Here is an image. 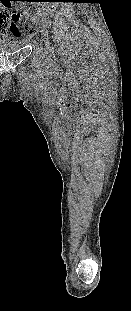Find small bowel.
Instances as JSON below:
<instances>
[{"label":"small bowel","mask_w":131,"mask_h":311,"mask_svg":"<svg viewBox=\"0 0 131 311\" xmlns=\"http://www.w3.org/2000/svg\"><path fill=\"white\" fill-rule=\"evenodd\" d=\"M40 16V14H36L35 18H38ZM10 34H12L14 36V38H17L19 36H21V31H19L18 28H6L3 29L2 31H0V43H5L8 40L12 39V37H10ZM29 36L26 37V39H28Z\"/></svg>","instance_id":"c3829d8e"}]
</instances>
